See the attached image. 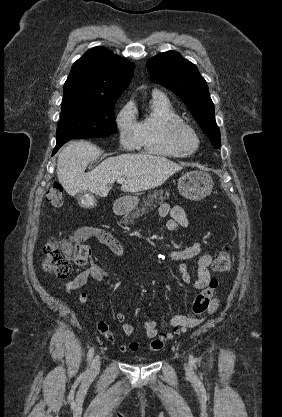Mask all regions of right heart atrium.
I'll list each match as a JSON object with an SVG mask.
<instances>
[{
  "label": "right heart atrium",
  "mask_w": 282,
  "mask_h": 417,
  "mask_svg": "<svg viewBox=\"0 0 282 417\" xmlns=\"http://www.w3.org/2000/svg\"><path fill=\"white\" fill-rule=\"evenodd\" d=\"M126 107L118 117L117 125L120 131V142L127 149H133L139 145L137 123Z\"/></svg>",
  "instance_id": "right-heart-atrium-1"
}]
</instances>
